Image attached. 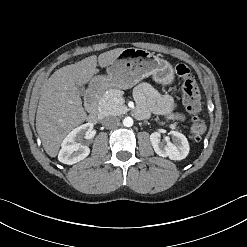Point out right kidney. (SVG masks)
<instances>
[{
    "instance_id": "ca27d5eb",
    "label": "right kidney",
    "mask_w": 247,
    "mask_h": 247,
    "mask_svg": "<svg viewBox=\"0 0 247 247\" xmlns=\"http://www.w3.org/2000/svg\"><path fill=\"white\" fill-rule=\"evenodd\" d=\"M93 124L86 123L72 130L63 140L58 160L64 164L72 165L85 159L90 149L79 143L83 137H88Z\"/></svg>"
}]
</instances>
